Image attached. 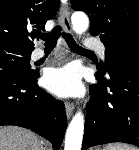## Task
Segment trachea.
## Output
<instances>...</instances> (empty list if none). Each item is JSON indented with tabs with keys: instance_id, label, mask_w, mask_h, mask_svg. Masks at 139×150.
Wrapping results in <instances>:
<instances>
[{
	"instance_id": "trachea-1",
	"label": "trachea",
	"mask_w": 139,
	"mask_h": 150,
	"mask_svg": "<svg viewBox=\"0 0 139 150\" xmlns=\"http://www.w3.org/2000/svg\"><path fill=\"white\" fill-rule=\"evenodd\" d=\"M61 30L62 28L60 26H55L51 33L39 34V37L45 42L44 45L46 49H53L56 46L57 39L61 35ZM63 36L65 37L66 42L72 51L78 52V53H92L90 50H87L79 46L75 42L71 34L63 33Z\"/></svg>"
}]
</instances>
